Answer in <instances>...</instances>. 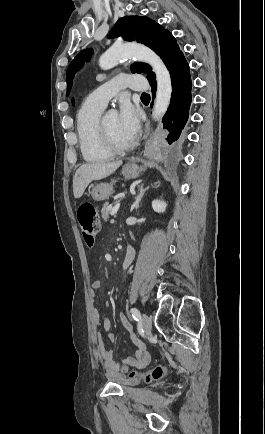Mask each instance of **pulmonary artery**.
<instances>
[{"instance_id": "pulmonary-artery-1", "label": "pulmonary artery", "mask_w": 265, "mask_h": 434, "mask_svg": "<svg viewBox=\"0 0 265 434\" xmlns=\"http://www.w3.org/2000/svg\"><path fill=\"white\" fill-rule=\"evenodd\" d=\"M131 84H147V75H131L121 73L115 77L103 82V87H95L93 91L87 94L89 103H99L106 105L111 96H115L117 90H123L125 85Z\"/></svg>"}]
</instances>
